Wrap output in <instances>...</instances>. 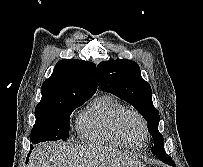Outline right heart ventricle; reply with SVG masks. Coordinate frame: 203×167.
Returning <instances> with one entry per match:
<instances>
[{
    "mask_svg": "<svg viewBox=\"0 0 203 167\" xmlns=\"http://www.w3.org/2000/svg\"><path fill=\"white\" fill-rule=\"evenodd\" d=\"M124 105L109 94L96 98L78 116V135L87 141L110 144L122 148L130 146L118 133L116 121Z\"/></svg>",
    "mask_w": 203,
    "mask_h": 167,
    "instance_id": "obj_1",
    "label": "right heart ventricle"
}]
</instances>
